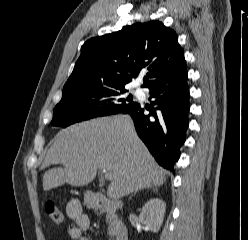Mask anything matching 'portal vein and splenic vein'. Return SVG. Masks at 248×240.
I'll return each instance as SVG.
<instances>
[{
    "label": "portal vein and splenic vein",
    "instance_id": "1",
    "mask_svg": "<svg viewBox=\"0 0 248 240\" xmlns=\"http://www.w3.org/2000/svg\"><path fill=\"white\" fill-rule=\"evenodd\" d=\"M102 173H104V177L106 178V179H112V173H110L108 170H106V169H103L102 170Z\"/></svg>",
    "mask_w": 248,
    "mask_h": 240
}]
</instances>
